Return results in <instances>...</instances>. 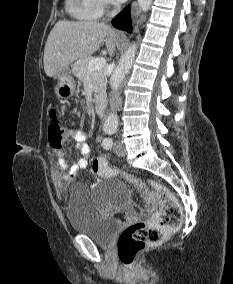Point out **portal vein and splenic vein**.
I'll return each instance as SVG.
<instances>
[{
	"mask_svg": "<svg viewBox=\"0 0 233 284\" xmlns=\"http://www.w3.org/2000/svg\"><path fill=\"white\" fill-rule=\"evenodd\" d=\"M106 60L104 58H96L89 62L88 67L91 71H97L104 68Z\"/></svg>",
	"mask_w": 233,
	"mask_h": 284,
	"instance_id": "1",
	"label": "portal vein and splenic vein"
}]
</instances>
